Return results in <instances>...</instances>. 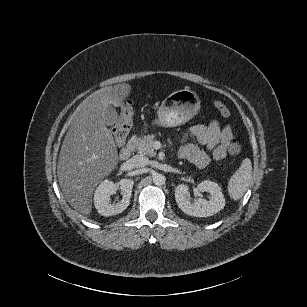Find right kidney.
Returning <instances> with one entry per match:
<instances>
[{
	"label": "right kidney",
	"mask_w": 307,
	"mask_h": 307,
	"mask_svg": "<svg viewBox=\"0 0 307 307\" xmlns=\"http://www.w3.org/2000/svg\"><path fill=\"white\" fill-rule=\"evenodd\" d=\"M119 184L123 198L116 204L110 203V195L115 192V185L112 181L104 180L97 187L94 194V205L101 215L106 217L116 215L129 206L134 182L131 179H121Z\"/></svg>",
	"instance_id": "obj_1"
}]
</instances>
